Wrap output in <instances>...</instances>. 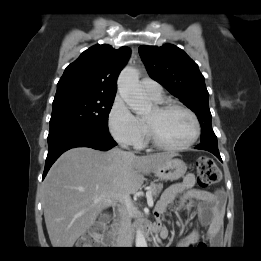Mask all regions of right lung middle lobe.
Listing matches in <instances>:
<instances>
[{
	"label": "right lung middle lobe",
	"instance_id": "1",
	"mask_svg": "<svg viewBox=\"0 0 261 261\" xmlns=\"http://www.w3.org/2000/svg\"><path fill=\"white\" fill-rule=\"evenodd\" d=\"M114 96L56 94L50 130L69 126H90L108 130V115Z\"/></svg>",
	"mask_w": 261,
	"mask_h": 261
}]
</instances>
